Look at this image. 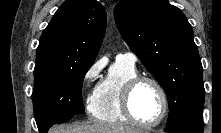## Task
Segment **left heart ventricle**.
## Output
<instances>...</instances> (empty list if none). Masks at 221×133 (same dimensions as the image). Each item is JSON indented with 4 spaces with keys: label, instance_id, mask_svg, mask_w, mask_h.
Instances as JSON below:
<instances>
[{
    "label": "left heart ventricle",
    "instance_id": "left-heart-ventricle-1",
    "mask_svg": "<svg viewBox=\"0 0 221 133\" xmlns=\"http://www.w3.org/2000/svg\"><path fill=\"white\" fill-rule=\"evenodd\" d=\"M131 104L134 115L143 122L155 121L162 110L160 94L156 87L148 82L137 86Z\"/></svg>",
    "mask_w": 221,
    "mask_h": 133
}]
</instances>
